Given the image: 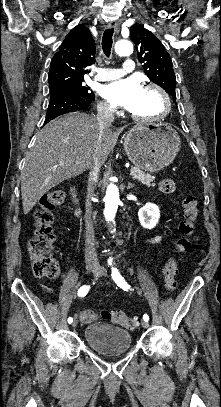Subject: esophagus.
<instances>
[{
  "instance_id": "1",
  "label": "esophagus",
  "mask_w": 221,
  "mask_h": 407,
  "mask_svg": "<svg viewBox=\"0 0 221 407\" xmlns=\"http://www.w3.org/2000/svg\"><path fill=\"white\" fill-rule=\"evenodd\" d=\"M108 27L111 28V29H114L116 32L119 31V24H118L117 21H111V22L108 24Z\"/></svg>"
}]
</instances>
